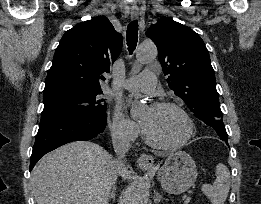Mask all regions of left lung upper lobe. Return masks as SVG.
<instances>
[{"mask_svg":"<svg viewBox=\"0 0 261 204\" xmlns=\"http://www.w3.org/2000/svg\"><path fill=\"white\" fill-rule=\"evenodd\" d=\"M146 35L158 48V59L170 89L185 101L195 117L212 126L228 142L215 72L201 37L168 17L159 19Z\"/></svg>","mask_w":261,"mask_h":204,"instance_id":"5c2ea615","label":"left lung upper lobe"}]
</instances>
